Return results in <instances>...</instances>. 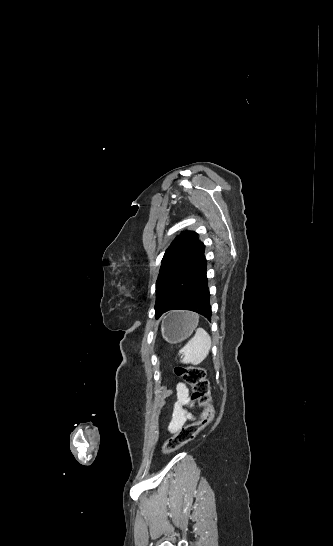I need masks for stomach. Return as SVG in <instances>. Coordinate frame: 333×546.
I'll return each mask as SVG.
<instances>
[{
  "label": "stomach",
  "mask_w": 333,
  "mask_h": 546,
  "mask_svg": "<svg viewBox=\"0 0 333 546\" xmlns=\"http://www.w3.org/2000/svg\"><path fill=\"white\" fill-rule=\"evenodd\" d=\"M198 322L199 319L194 313L174 311L162 321V337L170 344L179 343L193 333Z\"/></svg>",
  "instance_id": "stomach-1"
}]
</instances>
